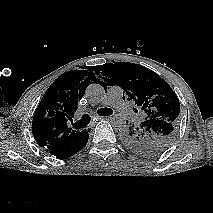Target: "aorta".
I'll use <instances>...</instances> for the list:
<instances>
[{
	"instance_id": "obj_1",
	"label": "aorta",
	"mask_w": 213,
	"mask_h": 213,
	"mask_svg": "<svg viewBox=\"0 0 213 213\" xmlns=\"http://www.w3.org/2000/svg\"><path fill=\"white\" fill-rule=\"evenodd\" d=\"M86 94L90 100L100 101L104 97L105 90L100 84H91L87 88ZM112 125L117 130H123L126 127V119L121 115H115L112 118Z\"/></svg>"
}]
</instances>
